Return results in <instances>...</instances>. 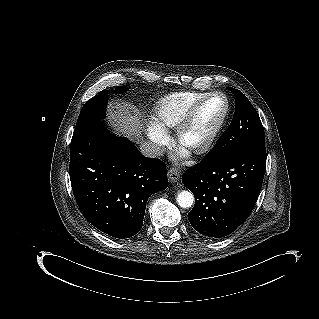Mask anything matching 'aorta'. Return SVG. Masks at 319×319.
<instances>
[{"label": "aorta", "mask_w": 319, "mask_h": 319, "mask_svg": "<svg viewBox=\"0 0 319 319\" xmlns=\"http://www.w3.org/2000/svg\"><path fill=\"white\" fill-rule=\"evenodd\" d=\"M194 196L190 191L183 190L177 195V203L182 208H190L193 205Z\"/></svg>", "instance_id": "1"}]
</instances>
